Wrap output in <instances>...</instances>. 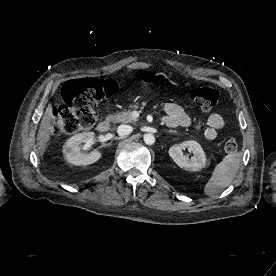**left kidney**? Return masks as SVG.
I'll return each instance as SVG.
<instances>
[{
    "mask_svg": "<svg viewBox=\"0 0 276 276\" xmlns=\"http://www.w3.org/2000/svg\"><path fill=\"white\" fill-rule=\"evenodd\" d=\"M186 148L193 153L191 158L184 154L183 150ZM169 155L179 167L191 171H198L206 164V156L202 147L198 142L192 140L171 146Z\"/></svg>",
    "mask_w": 276,
    "mask_h": 276,
    "instance_id": "1",
    "label": "left kidney"
}]
</instances>
